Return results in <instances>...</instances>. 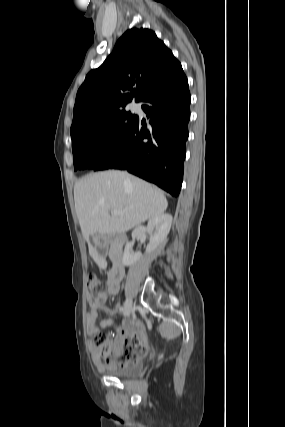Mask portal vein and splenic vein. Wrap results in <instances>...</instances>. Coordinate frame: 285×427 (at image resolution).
Listing matches in <instances>:
<instances>
[{
	"mask_svg": "<svg viewBox=\"0 0 285 427\" xmlns=\"http://www.w3.org/2000/svg\"><path fill=\"white\" fill-rule=\"evenodd\" d=\"M118 214H119V212L117 210H111L112 216H117Z\"/></svg>",
	"mask_w": 285,
	"mask_h": 427,
	"instance_id": "obj_1",
	"label": "portal vein and splenic vein"
}]
</instances>
